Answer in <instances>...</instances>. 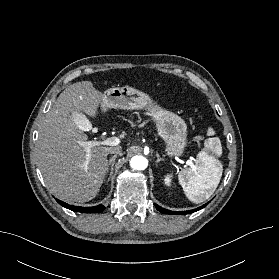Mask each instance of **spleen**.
Wrapping results in <instances>:
<instances>
[{"label": "spleen", "instance_id": "1", "mask_svg": "<svg viewBox=\"0 0 279 279\" xmlns=\"http://www.w3.org/2000/svg\"><path fill=\"white\" fill-rule=\"evenodd\" d=\"M214 131L209 128L208 135ZM190 168L182 169L179 174V182L186 197L193 203H201L208 199L216 190L222 173L221 162L213 155H221L222 146L218 138H208Z\"/></svg>", "mask_w": 279, "mask_h": 279}]
</instances>
